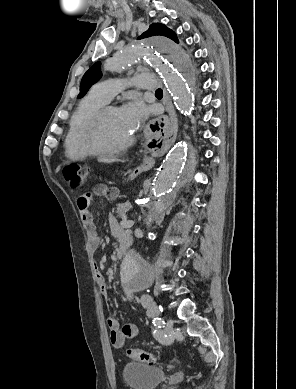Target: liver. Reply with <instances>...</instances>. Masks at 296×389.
I'll return each instance as SVG.
<instances>
[{
  "mask_svg": "<svg viewBox=\"0 0 296 389\" xmlns=\"http://www.w3.org/2000/svg\"><path fill=\"white\" fill-rule=\"evenodd\" d=\"M99 161H100V162L109 163V162H114V161H116V160H115V159H100Z\"/></svg>",
  "mask_w": 296,
  "mask_h": 389,
  "instance_id": "6515ba94",
  "label": "liver"
}]
</instances>
